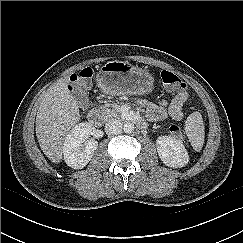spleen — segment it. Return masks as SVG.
<instances>
[{
  "mask_svg": "<svg viewBox=\"0 0 243 243\" xmlns=\"http://www.w3.org/2000/svg\"><path fill=\"white\" fill-rule=\"evenodd\" d=\"M185 130L193 148L200 151L203 147L205 137L201 113L193 112L189 115L185 122Z\"/></svg>",
  "mask_w": 243,
  "mask_h": 243,
  "instance_id": "spleen-1",
  "label": "spleen"
}]
</instances>
